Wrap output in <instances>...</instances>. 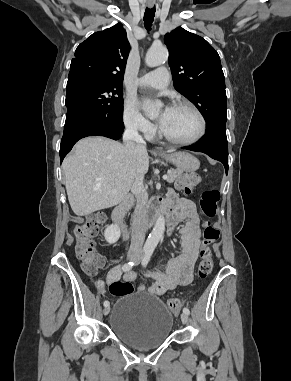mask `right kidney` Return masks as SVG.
Masks as SVG:
<instances>
[{
    "label": "right kidney",
    "instance_id": "right-kidney-1",
    "mask_svg": "<svg viewBox=\"0 0 291 381\" xmlns=\"http://www.w3.org/2000/svg\"><path fill=\"white\" fill-rule=\"evenodd\" d=\"M120 235H121L120 228L116 224H112L108 226L104 231L105 240L109 244L116 243L119 240Z\"/></svg>",
    "mask_w": 291,
    "mask_h": 381
}]
</instances>
